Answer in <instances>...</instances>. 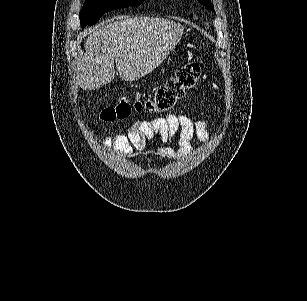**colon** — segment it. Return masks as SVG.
I'll return each mask as SVG.
<instances>
[{"instance_id":"colon-1","label":"colon","mask_w":307,"mask_h":301,"mask_svg":"<svg viewBox=\"0 0 307 301\" xmlns=\"http://www.w3.org/2000/svg\"><path fill=\"white\" fill-rule=\"evenodd\" d=\"M202 65V60L184 64L157 88L153 96L145 97L141 93H137L131 98L121 96L117 103L102 110L101 119L113 121L127 118L133 112L159 113L172 109L185 96L186 92L196 85L201 75Z\"/></svg>"}]
</instances>
